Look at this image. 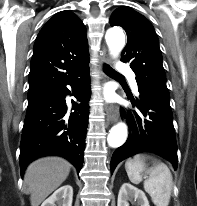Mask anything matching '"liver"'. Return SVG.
Returning a JSON list of instances; mask_svg holds the SVG:
<instances>
[{
    "label": "liver",
    "mask_w": 197,
    "mask_h": 206,
    "mask_svg": "<svg viewBox=\"0 0 197 206\" xmlns=\"http://www.w3.org/2000/svg\"><path fill=\"white\" fill-rule=\"evenodd\" d=\"M70 163L60 157H44L26 169L24 184L30 193L31 206H39L68 177Z\"/></svg>",
    "instance_id": "1"
}]
</instances>
